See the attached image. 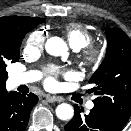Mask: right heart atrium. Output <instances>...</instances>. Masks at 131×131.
<instances>
[{"instance_id": "obj_1", "label": "right heart atrium", "mask_w": 131, "mask_h": 131, "mask_svg": "<svg viewBox=\"0 0 131 131\" xmlns=\"http://www.w3.org/2000/svg\"><path fill=\"white\" fill-rule=\"evenodd\" d=\"M45 40L46 33L43 30L39 29L31 32L25 40L24 52L26 54L39 52L43 48Z\"/></svg>"}]
</instances>
